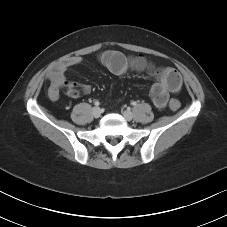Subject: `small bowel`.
Masks as SVG:
<instances>
[{
  "label": "small bowel",
  "mask_w": 227,
  "mask_h": 227,
  "mask_svg": "<svg viewBox=\"0 0 227 227\" xmlns=\"http://www.w3.org/2000/svg\"><path fill=\"white\" fill-rule=\"evenodd\" d=\"M100 62L114 75H123L128 70L148 71L152 75H158L155 66L144 56H126L123 53L115 50H108L100 55ZM82 63L80 57H71L66 62L57 65L48 73L50 81L49 95L53 99H57L59 91L64 90L65 94L71 98H77L82 94H88L91 87L87 84H79L67 81L66 71L74 66ZM179 85L170 86L159 79L150 89V97L153 104L159 108H165L169 94L179 89Z\"/></svg>",
  "instance_id": "1"
}]
</instances>
